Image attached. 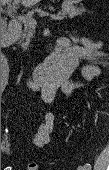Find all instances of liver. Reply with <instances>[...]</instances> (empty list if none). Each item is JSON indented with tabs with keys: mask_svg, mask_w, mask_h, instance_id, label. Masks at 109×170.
Listing matches in <instances>:
<instances>
[{
	"mask_svg": "<svg viewBox=\"0 0 109 170\" xmlns=\"http://www.w3.org/2000/svg\"><path fill=\"white\" fill-rule=\"evenodd\" d=\"M4 1H8V0H4ZM11 1V0H9ZM22 2V4L25 6V7H29V6H32L38 2H40L41 0H18V2ZM14 2H16V0H14Z\"/></svg>",
	"mask_w": 109,
	"mask_h": 170,
	"instance_id": "6515ba94",
	"label": "liver"
}]
</instances>
